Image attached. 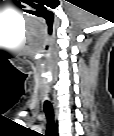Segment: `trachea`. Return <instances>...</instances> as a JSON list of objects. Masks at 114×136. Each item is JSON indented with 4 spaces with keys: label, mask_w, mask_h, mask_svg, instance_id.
Segmentation results:
<instances>
[{
    "label": "trachea",
    "mask_w": 114,
    "mask_h": 136,
    "mask_svg": "<svg viewBox=\"0 0 114 136\" xmlns=\"http://www.w3.org/2000/svg\"><path fill=\"white\" fill-rule=\"evenodd\" d=\"M44 111L47 118V136H53L54 133V111L49 101L44 103Z\"/></svg>",
    "instance_id": "obj_1"
}]
</instances>
